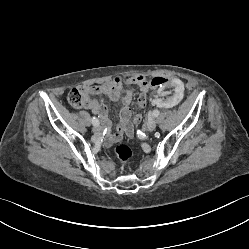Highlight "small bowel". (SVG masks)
Listing matches in <instances>:
<instances>
[{
	"label": "small bowel",
	"instance_id": "small-bowel-1",
	"mask_svg": "<svg viewBox=\"0 0 249 249\" xmlns=\"http://www.w3.org/2000/svg\"><path fill=\"white\" fill-rule=\"evenodd\" d=\"M126 84L137 85L141 90V94L144 93L146 95L152 88L151 84L143 76H133L130 78L116 76L111 81L99 85L81 86L78 88L86 96V102L83 107L97 115L105 127L110 125L107 108L102 101L92 99L90 95L103 94L108 96L111 101L115 103L120 102L122 104L120 110V121L116 131L106 138L108 144L119 140L123 133L129 135L133 133V125L130 121L131 110L129 106L133 98L134 88L126 87Z\"/></svg>",
	"mask_w": 249,
	"mask_h": 249
}]
</instances>
